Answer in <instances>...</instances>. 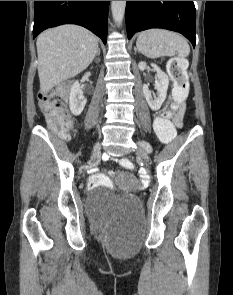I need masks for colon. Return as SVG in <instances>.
<instances>
[{
  "label": "colon",
  "instance_id": "colon-1",
  "mask_svg": "<svg viewBox=\"0 0 233 295\" xmlns=\"http://www.w3.org/2000/svg\"><path fill=\"white\" fill-rule=\"evenodd\" d=\"M167 68L174 85L172 111H175L189 93V81L186 72L187 62L182 58L174 57L169 60ZM72 87V82L56 86L44 93L40 101L42 111L46 115L49 125L62 140H67L70 137L74 127V123L63 101ZM172 113L158 116L154 122L155 132L163 143H171L176 139V129L170 119ZM120 164L126 169L134 168V164L127 158H122ZM88 187L90 189L97 187L111 189L113 184L107 176L101 173H93L88 179Z\"/></svg>",
  "mask_w": 233,
  "mask_h": 295
}]
</instances>
